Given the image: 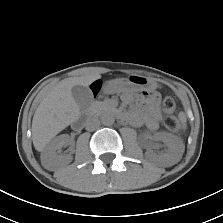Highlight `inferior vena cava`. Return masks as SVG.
I'll use <instances>...</instances> for the list:
<instances>
[{
    "mask_svg": "<svg viewBox=\"0 0 223 223\" xmlns=\"http://www.w3.org/2000/svg\"><path fill=\"white\" fill-rule=\"evenodd\" d=\"M100 126V121L98 118H91L86 121V130L94 131Z\"/></svg>",
    "mask_w": 223,
    "mask_h": 223,
    "instance_id": "obj_1",
    "label": "inferior vena cava"
}]
</instances>
